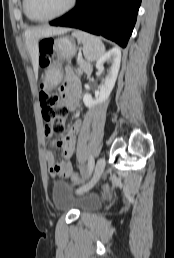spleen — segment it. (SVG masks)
<instances>
[{
  "label": "spleen",
  "mask_w": 174,
  "mask_h": 258,
  "mask_svg": "<svg viewBox=\"0 0 174 258\" xmlns=\"http://www.w3.org/2000/svg\"><path fill=\"white\" fill-rule=\"evenodd\" d=\"M72 35L82 42L83 54L89 62L98 60L104 54L105 46L99 37L80 30H74Z\"/></svg>",
  "instance_id": "spleen-1"
}]
</instances>
